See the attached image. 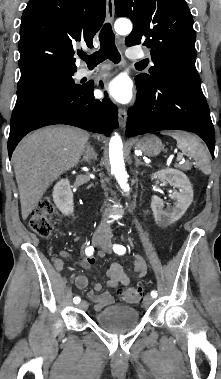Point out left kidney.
I'll return each mask as SVG.
<instances>
[{"instance_id": "5707ae66", "label": "left kidney", "mask_w": 221, "mask_h": 379, "mask_svg": "<svg viewBox=\"0 0 221 379\" xmlns=\"http://www.w3.org/2000/svg\"><path fill=\"white\" fill-rule=\"evenodd\" d=\"M151 179L166 180L173 188H178L169 194L176 201L174 207L164 209V202L157 196L152 197L151 209L156 223L168 225L179 220L193 201V189L187 176L177 169H164L152 174Z\"/></svg>"}]
</instances>
